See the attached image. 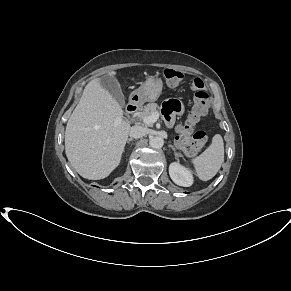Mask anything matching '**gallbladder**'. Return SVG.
<instances>
[{
  "label": "gallbladder",
  "mask_w": 291,
  "mask_h": 291,
  "mask_svg": "<svg viewBox=\"0 0 291 291\" xmlns=\"http://www.w3.org/2000/svg\"><path fill=\"white\" fill-rule=\"evenodd\" d=\"M100 82L102 87L114 97L117 103L124 107L125 100L117 79L114 76L103 75L100 77Z\"/></svg>",
  "instance_id": "1"
}]
</instances>
